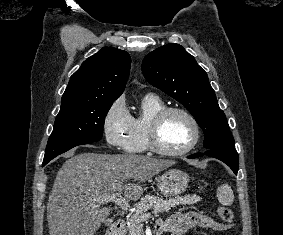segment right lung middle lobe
<instances>
[{"label":"right lung middle lobe","instance_id":"1","mask_svg":"<svg viewBox=\"0 0 283 235\" xmlns=\"http://www.w3.org/2000/svg\"><path fill=\"white\" fill-rule=\"evenodd\" d=\"M113 101L63 102L49 137L43 163L71 148L102 138L105 116Z\"/></svg>","mask_w":283,"mask_h":235}]
</instances>
